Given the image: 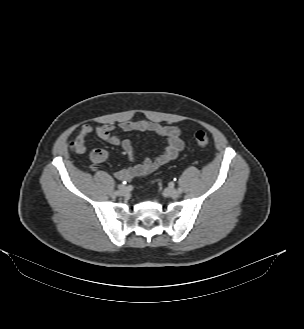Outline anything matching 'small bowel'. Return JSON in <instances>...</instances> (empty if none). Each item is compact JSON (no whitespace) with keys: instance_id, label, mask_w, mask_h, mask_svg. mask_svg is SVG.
<instances>
[{"instance_id":"small-bowel-1","label":"small bowel","mask_w":304,"mask_h":329,"mask_svg":"<svg viewBox=\"0 0 304 329\" xmlns=\"http://www.w3.org/2000/svg\"><path fill=\"white\" fill-rule=\"evenodd\" d=\"M119 129L124 132L141 131L151 132L167 141L164 151L155 159H145L143 162L135 164L132 167L118 170L115 177L121 181H130L136 178H142L154 172L159 166L164 165L178 155L183 149L184 143L181 138V131L174 126L161 125L149 120L124 121L119 124ZM95 130V133L102 140L120 146L131 161H136V155L132 142L129 139H121L112 125H98L93 128L89 124L81 126L74 138V150L82 154L86 149V139ZM109 158V153L103 149H93L89 153V159L93 163H101Z\"/></svg>"}]
</instances>
